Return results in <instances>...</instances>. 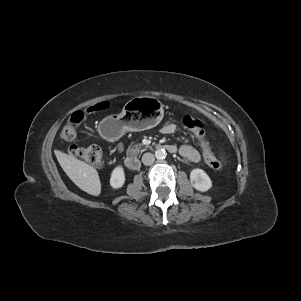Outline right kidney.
I'll list each match as a JSON object with an SVG mask.
<instances>
[{
	"label": "right kidney",
	"mask_w": 301,
	"mask_h": 301,
	"mask_svg": "<svg viewBox=\"0 0 301 301\" xmlns=\"http://www.w3.org/2000/svg\"><path fill=\"white\" fill-rule=\"evenodd\" d=\"M125 183V173L121 166H117L111 173L110 185L114 189L121 188Z\"/></svg>",
	"instance_id": "obj_1"
}]
</instances>
